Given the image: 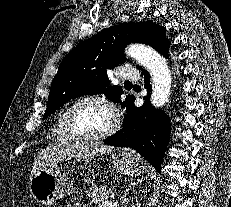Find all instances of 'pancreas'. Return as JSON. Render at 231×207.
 Listing matches in <instances>:
<instances>
[{
  "instance_id": "1",
  "label": "pancreas",
  "mask_w": 231,
  "mask_h": 207,
  "mask_svg": "<svg viewBox=\"0 0 231 207\" xmlns=\"http://www.w3.org/2000/svg\"><path fill=\"white\" fill-rule=\"evenodd\" d=\"M113 190L107 186L94 187L87 192L86 198L92 203H100L112 197Z\"/></svg>"
}]
</instances>
